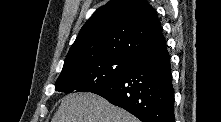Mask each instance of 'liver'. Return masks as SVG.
Returning a JSON list of instances; mask_svg holds the SVG:
<instances>
[{"mask_svg":"<svg viewBox=\"0 0 221 122\" xmlns=\"http://www.w3.org/2000/svg\"><path fill=\"white\" fill-rule=\"evenodd\" d=\"M52 122H138L126 110L91 92L65 96Z\"/></svg>","mask_w":221,"mask_h":122,"instance_id":"6515ba94","label":"liver"}]
</instances>
